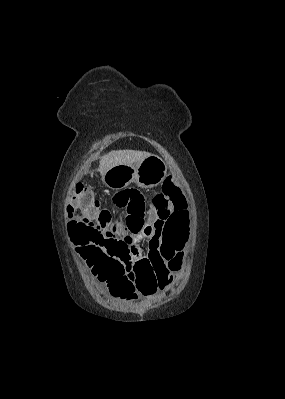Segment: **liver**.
I'll return each mask as SVG.
<instances>
[{
	"label": "liver",
	"mask_w": 285,
	"mask_h": 399,
	"mask_svg": "<svg viewBox=\"0 0 285 399\" xmlns=\"http://www.w3.org/2000/svg\"><path fill=\"white\" fill-rule=\"evenodd\" d=\"M150 153L135 150H117L111 151L101 157L98 171L103 176L106 171L117 165H133L142 161Z\"/></svg>",
	"instance_id": "obj_1"
}]
</instances>
